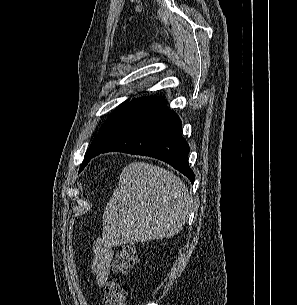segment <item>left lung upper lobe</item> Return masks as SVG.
Masks as SVG:
<instances>
[{
  "label": "left lung upper lobe",
  "mask_w": 297,
  "mask_h": 305,
  "mask_svg": "<svg viewBox=\"0 0 297 305\" xmlns=\"http://www.w3.org/2000/svg\"><path fill=\"white\" fill-rule=\"evenodd\" d=\"M127 105H128V101H125L124 103L120 104L118 106V108L105 121V123L103 124V126L100 129V133L95 136L92 143L90 144V146H89V148H88V150L85 154L84 160L81 164L79 172L81 170H83V168L88 164V162L90 161L89 160L90 155L93 154L99 148V146L101 145L105 135L107 134L108 130L110 129L113 121L123 111V109Z\"/></svg>",
  "instance_id": "1"
}]
</instances>
